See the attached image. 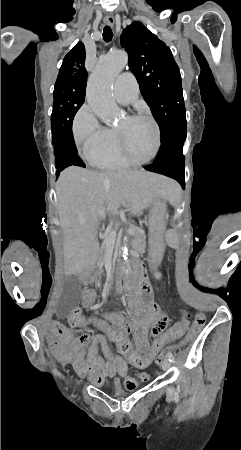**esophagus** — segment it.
Instances as JSON below:
<instances>
[{
	"label": "esophagus",
	"instance_id": "1",
	"mask_svg": "<svg viewBox=\"0 0 241 450\" xmlns=\"http://www.w3.org/2000/svg\"><path fill=\"white\" fill-rule=\"evenodd\" d=\"M104 22L107 23L108 25H113L114 24V18L113 16H107L104 18Z\"/></svg>",
	"mask_w": 241,
	"mask_h": 450
}]
</instances>
